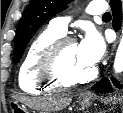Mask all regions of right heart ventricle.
Instances as JSON below:
<instances>
[{"mask_svg":"<svg viewBox=\"0 0 123 113\" xmlns=\"http://www.w3.org/2000/svg\"><path fill=\"white\" fill-rule=\"evenodd\" d=\"M62 36V33L49 27L33 40L19 68L18 81L22 90L41 94L63 88L45 81L39 72V63L45 51Z\"/></svg>","mask_w":123,"mask_h":113,"instance_id":"e07e8e85","label":"right heart ventricle"}]
</instances>
